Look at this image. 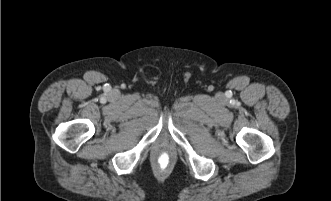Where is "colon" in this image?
Returning <instances> with one entry per match:
<instances>
[{
	"instance_id": "colon-1",
	"label": "colon",
	"mask_w": 331,
	"mask_h": 201,
	"mask_svg": "<svg viewBox=\"0 0 331 201\" xmlns=\"http://www.w3.org/2000/svg\"><path fill=\"white\" fill-rule=\"evenodd\" d=\"M155 165L160 171H167L173 166V159L168 152L163 151L156 156Z\"/></svg>"
}]
</instances>
